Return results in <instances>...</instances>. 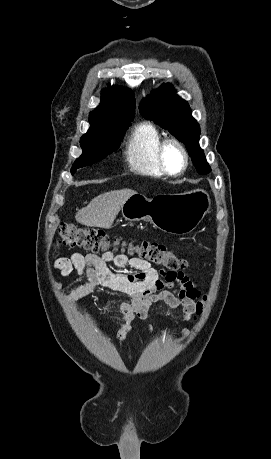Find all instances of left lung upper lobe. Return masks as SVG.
I'll list each match as a JSON object with an SVG mask.
<instances>
[{
    "label": "left lung upper lobe",
    "mask_w": 271,
    "mask_h": 459,
    "mask_svg": "<svg viewBox=\"0 0 271 459\" xmlns=\"http://www.w3.org/2000/svg\"><path fill=\"white\" fill-rule=\"evenodd\" d=\"M139 110L145 118L154 120L186 145L199 174L211 171L199 146V124L191 116L188 103L175 94L171 84H162L154 90L140 103Z\"/></svg>",
    "instance_id": "obj_1"
}]
</instances>
